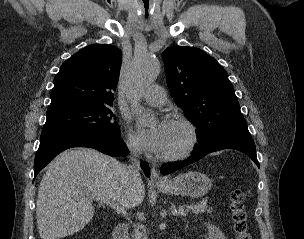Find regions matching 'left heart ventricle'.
<instances>
[{
	"label": "left heart ventricle",
	"instance_id": "b2bd125f",
	"mask_svg": "<svg viewBox=\"0 0 304 239\" xmlns=\"http://www.w3.org/2000/svg\"><path fill=\"white\" fill-rule=\"evenodd\" d=\"M187 140L185 129L176 123L169 122V129L161 153L173 152L181 148Z\"/></svg>",
	"mask_w": 304,
	"mask_h": 239
}]
</instances>
